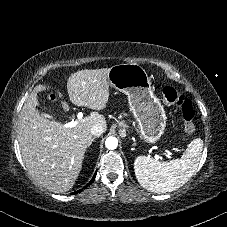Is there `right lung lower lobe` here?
Instances as JSON below:
<instances>
[{"label": "right lung lower lobe", "instance_id": "98d812e1", "mask_svg": "<svg viewBox=\"0 0 227 227\" xmlns=\"http://www.w3.org/2000/svg\"><path fill=\"white\" fill-rule=\"evenodd\" d=\"M95 175H96V174H95ZM95 175L93 176L92 180L89 182L88 185H90V184L93 182V180L95 179ZM88 185H86L84 188H86ZM84 188H83V189H84ZM81 191H82V190H78V191L74 192L73 194L79 193V192H81Z\"/></svg>", "mask_w": 227, "mask_h": 227}]
</instances>
